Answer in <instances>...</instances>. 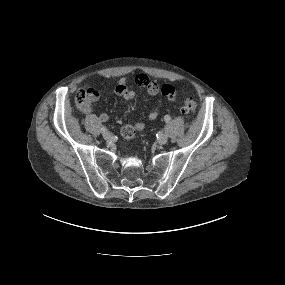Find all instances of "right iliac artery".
Returning <instances> with one entry per match:
<instances>
[{"instance_id":"82829eb1","label":"right iliac artery","mask_w":285,"mask_h":285,"mask_svg":"<svg viewBox=\"0 0 285 285\" xmlns=\"http://www.w3.org/2000/svg\"><path fill=\"white\" fill-rule=\"evenodd\" d=\"M100 130H101V132L104 133L107 129H106V127L102 126Z\"/></svg>"}]
</instances>
